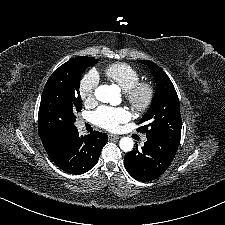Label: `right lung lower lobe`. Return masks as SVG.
<instances>
[{
    "label": "right lung lower lobe",
    "instance_id": "98d812e1",
    "mask_svg": "<svg viewBox=\"0 0 225 225\" xmlns=\"http://www.w3.org/2000/svg\"><path fill=\"white\" fill-rule=\"evenodd\" d=\"M107 141L106 133L94 131L87 136H80L76 130L66 136L63 146L50 158L67 173L83 174L96 165Z\"/></svg>",
    "mask_w": 225,
    "mask_h": 225
}]
</instances>
